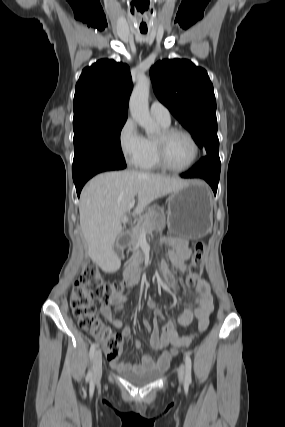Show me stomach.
I'll return each instance as SVG.
<instances>
[{
	"mask_svg": "<svg viewBox=\"0 0 285 427\" xmlns=\"http://www.w3.org/2000/svg\"><path fill=\"white\" fill-rule=\"evenodd\" d=\"M212 196L206 183L191 180L172 193L167 218L153 208L158 223H167L169 231L186 239H199L212 229Z\"/></svg>",
	"mask_w": 285,
	"mask_h": 427,
	"instance_id": "stomach-1",
	"label": "stomach"
}]
</instances>
